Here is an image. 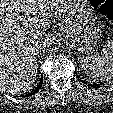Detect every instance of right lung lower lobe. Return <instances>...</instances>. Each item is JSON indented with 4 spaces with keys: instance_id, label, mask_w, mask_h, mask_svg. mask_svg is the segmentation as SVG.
Segmentation results:
<instances>
[{
    "instance_id": "right-lung-lower-lobe-1",
    "label": "right lung lower lobe",
    "mask_w": 113,
    "mask_h": 113,
    "mask_svg": "<svg viewBox=\"0 0 113 113\" xmlns=\"http://www.w3.org/2000/svg\"><path fill=\"white\" fill-rule=\"evenodd\" d=\"M42 83H43V77H42V79L40 80L39 84H38L30 93L26 94L25 97L34 95L36 92H38L39 89H40L41 86H42Z\"/></svg>"
}]
</instances>
